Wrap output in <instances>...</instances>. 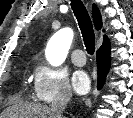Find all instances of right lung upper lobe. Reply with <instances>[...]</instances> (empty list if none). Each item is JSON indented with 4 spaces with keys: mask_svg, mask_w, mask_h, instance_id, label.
I'll use <instances>...</instances> for the list:
<instances>
[{
    "mask_svg": "<svg viewBox=\"0 0 133 118\" xmlns=\"http://www.w3.org/2000/svg\"><path fill=\"white\" fill-rule=\"evenodd\" d=\"M92 15H93V22H94L95 28L97 30L101 29L102 18H101L99 10L95 4H93V6H92ZM107 41H108V38L106 36H104L103 44L106 43Z\"/></svg>",
    "mask_w": 133,
    "mask_h": 118,
    "instance_id": "obj_1",
    "label": "right lung upper lobe"
}]
</instances>
